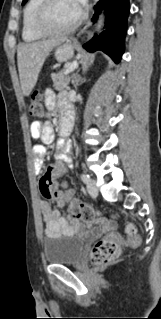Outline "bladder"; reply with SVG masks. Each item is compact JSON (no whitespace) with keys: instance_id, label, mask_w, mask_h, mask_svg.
Segmentation results:
<instances>
[{"instance_id":"bladder-1","label":"bladder","mask_w":161,"mask_h":319,"mask_svg":"<svg viewBox=\"0 0 161 319\" xmlns=\"http://www.w3.org/2000/svg\"><path fill=\"white\" fill-rule=\"evenodd\" d=\"M85 246L78 235H47L43 238L44 261L54 265L77 264L84 255Z\"/></svg>"}]
</instances>
